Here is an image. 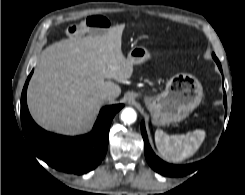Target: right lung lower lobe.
I'll return each mask as SVG.
<instances>
[{"mask_svg": "<svg viewBox=\"0 0 245 195\" xmlns=\"http://www.w3.org/2000/svg\"><path fill=\"white\" fill-rule=\"evenodd\" d=\"M29 75L21 95V124L33 153L49 166L66 173L84 174L96 168L107 152L109 128L122 104L104 107L92 131L78 137L53 134L40 128L31 118L26 91Z\"/></svg>", "mask_w": 245, "mask_h": 195, "instance_id": "98d812e1", "label": "right lung lower lobe"}]
</instances>
